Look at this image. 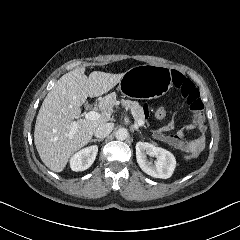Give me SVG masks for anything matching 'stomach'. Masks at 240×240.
Returning a JSON list of instances; mask_svg holds the SVG:
<instances>
[{"label":"stomach","instance_id":"0dacf381","mask_svg":"<svg viewBox=\"0 0 240 240\" xmlns=\"http://www.w3.org/2000/svg\"><path fill=\"white\" fill-rule=\"evenodd\" d=\"M170 87V71L150 65L130 68L118 83V90L124 97L138 100L159 98L165 95Z\"/></svg>","mask_w":240,"mask_h":240}]
</instances>
